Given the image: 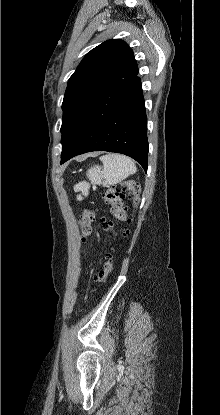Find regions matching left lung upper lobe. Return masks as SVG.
Segmentation results:
<instances>
[{
  "instance_id": "1",
  "label": "left lung upper lobe",
  "mask_w": 220,
  "mask_h": 415,
  "mask_svg": "<svg viewBox=\"0 0 220 415\" xmlns=\"http://www.w3.org/2000/svg\"><path fill=\"white\" fill-rule=\"evenodd\" d=\"M138 74L132 49L111 39L88 52L68 80L63 99L62 153L70 147L85 115L115 80Z\"/></svg>"
}]
</instances>
